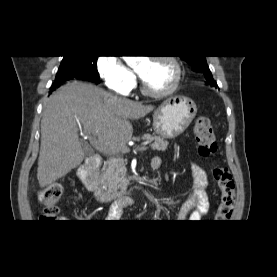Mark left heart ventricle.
Listing matches in <instances>:
<instances>
[{
  "label": "left heart ventricle",
  "mask_w": 277,
  "mask_h": 277,
  "mask_svg": "<svg viewBox=\"0 0 277 277\" xmlns=\"http://www.w3.org/2000/svg\"><path fill=\"white\" fill-rule=\"evenodd\" d=\"M146 86L153 91H162L169 87L174 71L165 61L146 60L137 68Z\"/></svg>",
  "instance_id": "obj_1"
}]
</instances>
